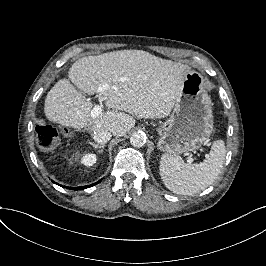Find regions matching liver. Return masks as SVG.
Wrapping results in <instances>:
<instances>
[{
    "mask_svg": "<svg viewBox=\"0 0 266 266\" xmlns=\"http://www.w3.org/2000/svg\"><path fill=\"white\" fill-rule=\"evenodd\" d=\"M188 65L158 58L143 50H119L78 59L69 70V79L59 80L48 92L46 118L62 126L107 130L123 137L138 118L168 116L180 96ZM96 94L108 109L91 118ZM108 85V86H106ZM127 112V113H126Z\"/></svg>",
    "mask_w": 266,
    "mask_h": 266,
    "instance_id": "6515ba94",
    "label": "liver"
}]
</instances>
